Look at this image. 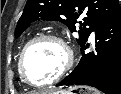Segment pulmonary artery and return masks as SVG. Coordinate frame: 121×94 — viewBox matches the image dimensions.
Masks as SVG:
<instances>
[{"label": "pulmonary artery", "mask_w": 121, "mask_h": 94, "mask_svg": "<svg viewBox=\"0 0 121 94\" xmlns=\"http://www.w3.org/2000/svg\"><path fill=\"white\" fill-rule=\"evenodd\" d=\"M94 35H95V34H94V32H93V33L91 34V37L93 38V37H94Z\"/></svg>", "instance_id": "obj_1"}]
</instances>
